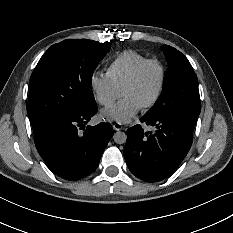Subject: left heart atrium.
<instances>
[{
  "label": "left heart atrium",
  "instance_id": "39dd6f15",
  "mask_svg": "<svg viewBox=\"0 0 233 233\" xmlns=\"http://www.w3.org/2000/svg\"><path fill=\"white\" fill-rule=\"evenodd\" d=\"M142 105L132 97L122 98L117 103L102 109L100 119L117 123H127L142 109Z\"/></svg>",
  "mask_w": 233,
  "mask_h": 233
}]
</instances>
